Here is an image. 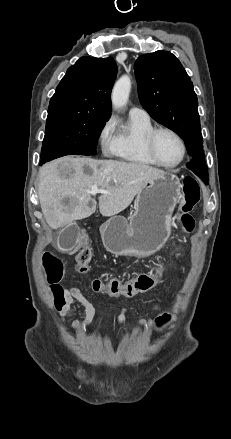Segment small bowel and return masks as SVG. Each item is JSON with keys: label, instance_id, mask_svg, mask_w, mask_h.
I'll return each mask as SVG.
<instances>
[{"label": "small bowel", "instance_id": "1", "mask_svg": "<svg viewBox=\"0 0 231 439\" xmlns=\"http://www.w3.org/2000/svg\"><path fill=\"white\" fill-rule=\"evenodd\" d=\"M159 278H160V276H159ZM152 287H150L146 290L148 291ZM62 296H63V299H62L63 306H62L60 315L65 316L66 313L69 311L72 303L74 301H77L84 308L85 317L81 322L74 321L73 327L78 329V330H84L85 328H87L91 324V322L95 316V308L92 305V303L87 300V298L82 294V292L77 287H70V288L63 289ZM126 313H127V309L122 308V310L118 316V319H117V323L119 326H123L126 324V322H127ZM139 325L141 328L149 327L150 321L146 320V319H142V320H140Z\"/></svg>", "mask_w": 231, "mask_h": 439}]
</instances>
